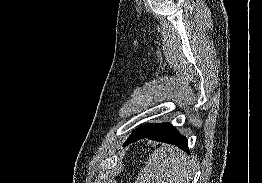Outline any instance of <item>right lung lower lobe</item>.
<instances>
[{
  "label": "right lung lower lobe",
  "instance_id": "1",
  "mask_svg": "<svg viewBox=\"0 0 262 183\" xmlns=\"http://www.w3.org/2000/svg\"><path fill=\"white\" fill-rule=\"evenodd\" d=\"M143 138L170 143L189 153L187 139L169 123L141 126L132 133L124 146Z\"/></svg>",
  "mask_w": 262,
  "mask_h": 183
}]
</instances>
